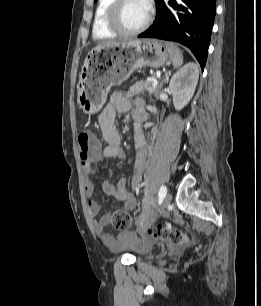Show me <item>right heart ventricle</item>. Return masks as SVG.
Wrapping results in <instances>:
<instances>
[{"instance_id": "right-heart-ventricle-1", "label": "right heart ventricle", "mask_w": 261, "mask_h": 306, "mask_svg": "<svg viewBox=\"0 0 261 306\" xmlns=\"http://www.w3.org/2000/svg\"><path fill=\"white\" fill-rule=\"evenodd\" d=\"M112 2L113 0H98L92 23V36L96 40L112 39L117 36L106 23V13Z\"/></svg>"}]
</instances>
